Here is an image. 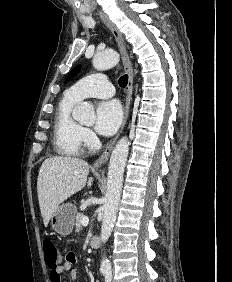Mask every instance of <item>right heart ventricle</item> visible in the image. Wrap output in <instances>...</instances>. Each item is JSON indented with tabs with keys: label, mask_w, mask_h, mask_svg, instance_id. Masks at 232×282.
I'll return each mask as SVG.
<instances>
[{
	"label": "right heart ventricle",
	"mask_w": 232,
	"mask_h": 282,
	"mask_svg": "<svg viewBox=\"0 0 232 282\" xmlns=\"http://www.w3.org/2000/svg\"><path fill=\"white\" fill-rule=\"evenodd\" d=\"M79 101L65 93L57 105L54 116L53 145L55 152L59 155L76 156L82 150L83 127L72 116V111Z\"/></svg>",
	"instance_id": "obj_1"
}]
</instances>
